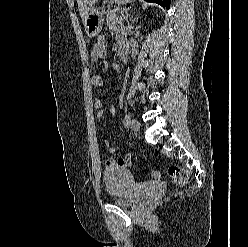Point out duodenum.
Listing matches in <instances>:
<instances>
[{"instance_id":"410a0bca","label":"duodenum","mask_w":248,"mask_h":247,"mask_svg":"<svg viewBox=\"0 0 248 247\" xmlns=\"http://www.w3.org/2000/svg\"><path fill=\"white\" fill-rule=\"evenodd\" d=\"M128 57H129L128 52L122 50L121 53H120L121 62L126 63L128 61Z\"/></svg>"}]
</instances>
